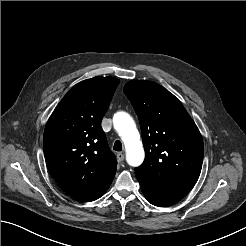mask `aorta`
Returning <instances> with one entry per match:
<instances>
[{
    "label": "aorta",
    "instance_id": "aorta-1",
    "mask_svg": "<svg viewBox=\"0 0 246 246\" xmlns=\"http://www.w3.org/2000/svg\"><path fill=\"white\" fill-rule=\"evenodd\" d=\"M113 124L124 142L127 163L132 167L141 165L145 153L133 118L126 112H118L114 115Z\"/></svg>",
    "mask_w": 246,
    "mask_h": 246
}]
</instances>
